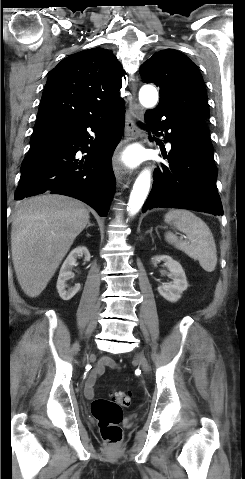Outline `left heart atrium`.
I'll list each match as a JSON object with an SVG mask.
<instances>
[{
  "mask_svg": "<svg viewBox=\"0 0 245 479\" xmlns=\"http://www.w3.org/2000/svg\"><path fill=\"white\" fill-rule=\"evenodd\" d=\"M125 160L130 164H134L138 161V157L135 153L131 152L126 155Z\"/></svg>",
  "mask_w": 245,
  "mask_h": 479,
  "instance_id": "1",
  "label": "left heart atrium"
}]
</instances>
